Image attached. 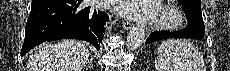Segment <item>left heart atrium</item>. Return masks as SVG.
I'll use <instances>...</instances> for the list:
<instances>
[{"label": "left heart atrium", "instance_id": "obj_1", "mask_svg": "<svg viewBox=\"0 0 230 71\" xmlns=\"http://www.w3.org/2000/svg\"><path fill=\"white\" fill-rule=\"evenodd\" d=\"M110 3L119 13L138 21L153 19L157 11L152 0H115Z\"/></svg>", "mask_w": 230, "mask_h": 71}]
</instances>
